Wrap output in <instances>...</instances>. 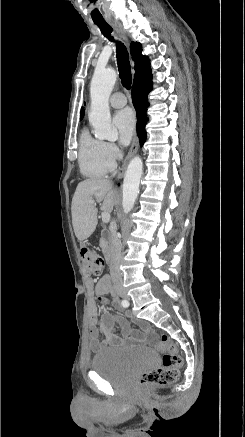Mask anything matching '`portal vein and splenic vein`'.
Instances as JSON below:
<instances>
[{"mask_svg":"<svg viewBox=\"0 0 245 437\" xmlns=\"http://www.w3.org/2000/svg\"><path fill=\"white\" fill-rule=\"evenodd\" d=\"M90 202L93 203L94 200L91 199ZM101 216L104 223H108L110 221V214L108 212H102Z\"/></svg>","mask_w":245,"mask_h":437,"instance_id":"obj_1","label":"portal vein and splenic vein"}]
</instances>
